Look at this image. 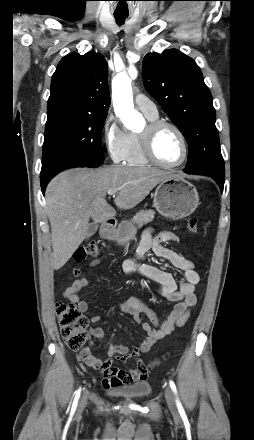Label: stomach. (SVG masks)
I'll use <instances>...</instances> for the list:
<instances>
[{"label":"stomach","mask_w":254,"mask_h":440,"mask_svg":"<svg viewBox=\"0 0 254 440\" xmlns=\"http://www.w3.org/2000/svg\"><path fill=\"white\" fill-rule=\"evenodd\" d=\"M154 207L164 217L178 220L191 215L199 204L196 188L190 182L178 175L161 181L154 193ZM136 231L130 227V222L123 221L117 229L107 233L105 237L116 241L119 245H126Z\"/></svg>","instance_id":"0dacf381"}]
</instances>
